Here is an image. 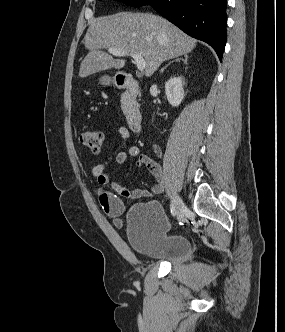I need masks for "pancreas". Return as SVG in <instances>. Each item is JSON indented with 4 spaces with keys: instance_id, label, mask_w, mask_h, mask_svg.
<instances>
[{
    "instance_id": "pancreas-1",
    "label": "pancreas",
    "mask_w": 285,
    "mask_h": 332,
    "mask_svg": "<svg viewBox=\"0 0 285 332\" xmlns=\"http://www.w3.org/2000/svg\"><path fill=\"white\" fill-rule=\"evenodd\" d=\"M121 104H122L123 111H126L127 108H128V104H127V93H125V94L122 95Z\"/></svg>"
}]
</instances>
